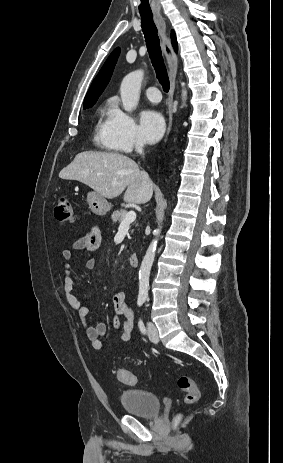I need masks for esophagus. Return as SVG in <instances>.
I'll use <instances>...</instances> for the list:
<instances>
[{"label":"esophagus","instance_id":"1","mask_svg":"<svg viewBox=\"0 0 283 463\" xmlns=\"http://www.w3.org/2000/svg\"><path fill=\"white\" fill-rule=\"evenodd\" d=\"M155 22L157 24L161 40H162V50L166 59V63L168 66V74H169V82L170 88L168 93V128H167V135L168 137L171 127H172V115H173V95L175 90V81H176V74H177V57L173 51L171 40L166 33V24L164 18L161 15L155 16Z\"/></svg>","mask_w":283,"mask_h":463}]
</instances>
